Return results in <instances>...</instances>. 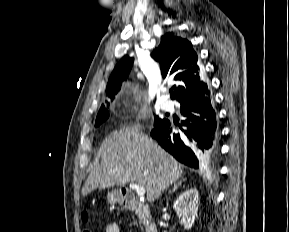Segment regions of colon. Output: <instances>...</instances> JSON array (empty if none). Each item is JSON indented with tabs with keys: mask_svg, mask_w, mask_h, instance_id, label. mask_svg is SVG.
<instances>
[{
	"mask_svg": "<svg viewBox=\"0 0 289 232\" xmlns=\"http://www.w3.org/2000/svg\"><path fill=\"white\" fill-rule=\"evenodd\" d=\"M83 219L86 221L88 219V214L84 213L83 214ZM84 232H90L89 230H85Z\"/></svg>",
	"mask_w": 289,
	"mask_h": 232,
	"instance_id": "1",
	"label": "colon"
}]
</instances>
